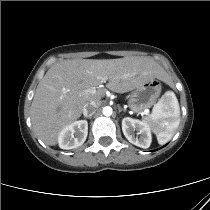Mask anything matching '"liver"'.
<instances>
[{
	"label": "liver",
	"mask_w": 210,
	"mask_h": 210,
	"mask_svg": "<svg viewBox=\"0 0 210 210\" xmlns=\"http://www.w3.org/2000/svg\"><path fill=\"white\" fill-rule=\"evenodd\" d=\"M163 68L148 57L119 59H72L54 64L39 82L32 104L31 120L38 137L55 145L63 128L80 118L83 107L99 101L105 89L131 91L155 78L162 80Z\"/></svg>",
	"instance_id": "liver-1"
}]
</instances>
